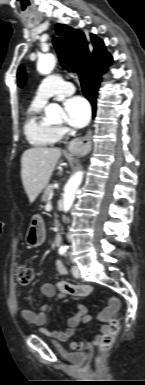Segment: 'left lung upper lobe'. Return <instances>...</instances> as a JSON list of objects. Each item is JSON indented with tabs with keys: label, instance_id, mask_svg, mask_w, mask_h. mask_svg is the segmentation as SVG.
I'll use <instances>...</instances> for the list:
<instances>
[{
	"label": "left lung upper lobe",
	"instance_id": "left-lung-upper-lobe-1",
	"mask_svg": "<svg viewBox=\"0 0 145 385\" xmlns=\"http://www.w3.org/2000/svg\"><path fill=\"white\" fill-rule=\"evenodd\" d=\"M17 76H18V84L19 86H22L25 82V71L22 66L19 68Z\"/></svg>",
	"mask_w": 145,
	"mask_h": 385
}]
</instances>
